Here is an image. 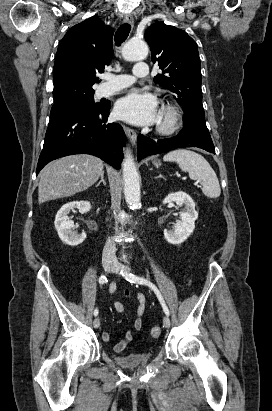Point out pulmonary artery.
<instances>
[{"mask_svg": "<svg viewBox=\"0 0 272 411\" xmlns=\"http://www.w3.org/2000/svg\"><path fill=\"white\" fill-rule=\"evenodd\" d=\"M148 66L145 63H137L135 65L133 75L129 74H106L104 78L107 80L106 83L102 84L98 88V95L100 97L109 96L114 94L124 88L131 86L137 78L147 77Z\"/></svg>", "mask_w": 272, "mask_h": 411, "instance_id": "e3ab8cb5", "label": "pulmonary artery"}]
</instances>
